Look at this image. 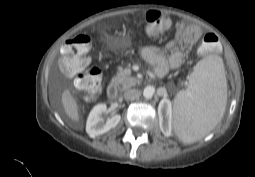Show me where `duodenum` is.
Returning <instances> with one entry per match:
<instances>
[{"label":"duodenum","mask_w":255,"mask_h":177,"mask_svg":"<svg viewBox=\"0 0 255 177\" xmlns=\"http://www.w3.org/2000/svg\"><path fill=\"white\" fill-rule=\"evenodd\" d=\"M107 95L110 99L116 100V98H117V87L114 84L110 83L107 86Z\"/></svg>","instance_id":"410a0bca"}]
</instances>
